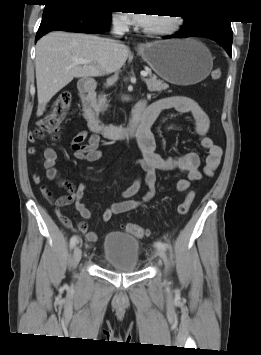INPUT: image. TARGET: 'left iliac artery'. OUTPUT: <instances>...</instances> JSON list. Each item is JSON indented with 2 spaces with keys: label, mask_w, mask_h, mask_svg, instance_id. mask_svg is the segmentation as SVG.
<instances>
[{
  "label": "left iliac artery",
  "mask_w": 261,
  "mask_h": 355,
  "mask_svg": "<svg viewBox=\"0 0 261 355\" xmlns=\"http://www.w3.org/2000/svg\"><path fill=\"white\" fill-rule=\"evenodd\" d=\"M154 245H155L157 248H160V249H163V250H166L167 247H168L166 243L161 242V241L155 242Z\"/></svg>",
  "instance_id": "1"
}]
</instances>
